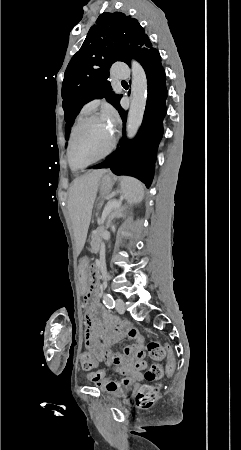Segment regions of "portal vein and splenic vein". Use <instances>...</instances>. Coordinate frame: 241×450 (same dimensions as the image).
I'll return each mask as SVG.
<instances>
[{"label":"portal vein and splenic vein","mask_w":241,"mask_h":450,"mask_svg":"<svg viewBox=\"0 0 241 450\" xmlns=\"http://www.w3.org/2000/svg\"><path fill=\"white\" fill-rule=\"evenodd\" d=\"M118 207H123V202H118V205L114 204V202H108V204H106V208H103V212L101 215L102 217L99 220V225H104L105 218H107L109 214L118 213Z\"/></svg>","instance_id":"obj_1"}]
</instances>
